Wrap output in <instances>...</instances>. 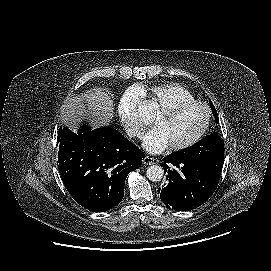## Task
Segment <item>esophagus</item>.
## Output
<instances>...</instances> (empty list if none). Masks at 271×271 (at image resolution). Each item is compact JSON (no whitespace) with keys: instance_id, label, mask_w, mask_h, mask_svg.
Returning a JSON list of instances; mask_svg holds the SVG:
<instances>
[{"instance_id":"obj_1","label":"esophagus","mask_w":271,"mask_h":271,"mask_svg":"<svg viewBox=\"0 0 271 271\" xmlns=\"http://www.w3.org/2000/svg\"><path fill=\"white\" fill-rule=\"evenodd\" d=\"M158 162H159L158 159L152 158V157H149V156H145V157L143 158V163H144L145 165H153V164H157Z\"/></svg>"}]
</instances>
